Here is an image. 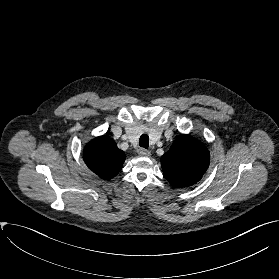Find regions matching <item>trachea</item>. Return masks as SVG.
I'll return each instance as SVG.
<instances>
[{
	"mask_svg": "<svg viewBox=\"0 0 279 279\" xmlns=\"http://www.w3.org/2000/svg\"><path fill=\"white\" fill-rule=\"evenodd\" d=\"M139 145L145 149L149 146V136L146 134L141 135Z\"/></svg>",
	"mask_w": 279,
	"mask_h": 279,
	"instance_id": "3493384b",
	"label": "trachea"
}]
</instances>
